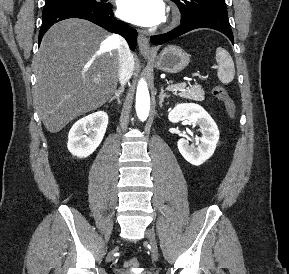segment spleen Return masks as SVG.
Returning <instances> with one entry per match:
<instances>
[{"mask_svg":"<svg viewBox=\"0 0 289 274\" xmlns=\"http://www.w3.org/2000/svg\"><path fill=\"white\" fill-rule=\"evenodd\" d=\"M216 61L218 63V79L223 84H228L233 81L235 76V67L230 54L225 49L219 47L216 50Z\"/></svg>","mask_w":289,"mask_h":274,"instance_id":"1","label":"spleen"}]
</instances>
